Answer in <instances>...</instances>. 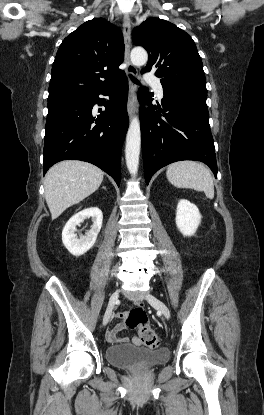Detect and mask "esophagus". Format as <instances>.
Here are the masks:
<instances>
[{
    "label": "esophagus",
    "mask_w": 264,
    "mask_h": 415,
    "mask_svg": "<svg viewBox=\"0 0 264 415\" xmlns=\"http://www.w3.org/2000/svg\"><path fill=\"white\" fill-rule=\"evenodd\" d=\"M123 36H124V44H125V62L127 64V73L130 76L136 77L138 72L137 68L131 63L130 60V49H131V20L128 14L124 15L123 19ZM136 86L133 83H130L129 88V97L127 102V111L129 116H132V114L135 111V105H136Z\"/></svg>",
    "instance_id": "34e87169"
}]
</instances>
